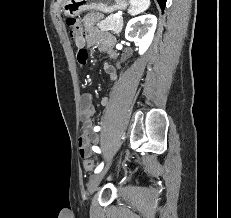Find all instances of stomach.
<instances>
[{"mask_svg": "<svg viewBox=\"0 0 231 218\" xmlns=\"http://www.w3.org/2000/svg\"><path fill=\"white\" fill-rule=\"evenodd\" d=\"M128 6V0H65L64 13L75 17L85 11L96 10L103 13H113L124 10Z\"/></svg>", "mask_w": 231, "mask_h": 218, "instance_id": "stomach-1", "label": "stomach"}]
</instances>
